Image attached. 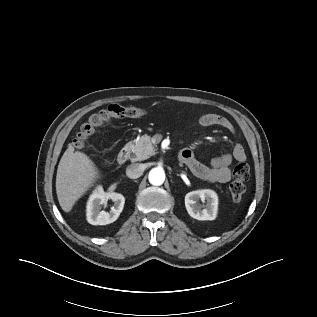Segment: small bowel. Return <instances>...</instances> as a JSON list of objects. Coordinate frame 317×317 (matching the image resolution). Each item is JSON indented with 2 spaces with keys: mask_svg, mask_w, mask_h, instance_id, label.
Listing matches in <instances>:
<instances>
[{
  "mask_svg": "<svg viewBox=\"0 0 317 317\" xmlns=\"http://www.w3.org/2000/svg\"><path fill=\"white\" fill-rule=\"evenodd\" d=\"M199 122L203 126H218L234 132L233 124L226 117L219 114H203ZM181 153L180 161L190 169L194 176L208 182L220 184L230 181L232 175L231 166L234 161L244 162L246 160V153L241 144H236L230 153L214 157L209 165L197 160L189 148L183 149Z\"/></svg>",
  "mask_w": 317,
  "mask_h": 317,
  "instance_id": "small-bowel-1",
  "label": "small bowel"
}]
</instances>
